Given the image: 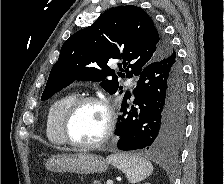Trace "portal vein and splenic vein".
<instances>
[{
	"instance_id": "obj_1",
	"label": "portal vein and splenic vein",
	"mask_w": 224,
	"mask_h": 184,
	"mask_svg": "<svg viewBox=\"0 0 224 184\" xmlns=\"http://www.w3.org/2000/svg\"><path fill=\"white\" fill-rule=\"evenodd\" d=\"M106 184H113V181L112 180H107Z\"/></svg>"
}]
</instances>
